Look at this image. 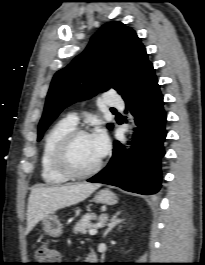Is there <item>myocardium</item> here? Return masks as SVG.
Here are the masks:
<instances>
[{"label":"myocardium","mask_w":205,"mask_h":265,"mask_svg":"<svg viewBox=\"0 0 205 265\" xmlns=\"http://www.w3.org/2000/svg\"><path fill=\"white\" fill-rule=\"evenodd\" d=\"M81 136H90V134L88 131L78 128L68 132L58 143L53 155V165L55 169L68 179L89 178L98 173L103 164V160L100 158L97 164L87 171L79 172L72 168L69 163L70 148L74 141Z\"/></svg>","instance_id":"myocardium-1"}]
</instances>
